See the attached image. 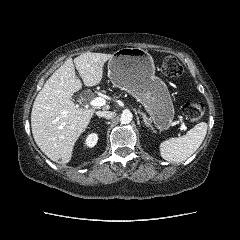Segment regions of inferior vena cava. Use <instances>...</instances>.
<instances>
[{
  "mask_svg": "<svg viewBox=\"0 0 240 240\" xmlns=\"http://www.w3.org/2000/svg\"><path fill=\"white\" fill-rule=\"evenodd\" d=\"M96 115L99 117H104L106 119H112L115 116V113L112 111H97Z\"/></svg>",
  "mask_w": 240,
  "mask_h": 240,
  "instance_id": "1",
  "label": "inferior vena cava"
}]
</instances>
